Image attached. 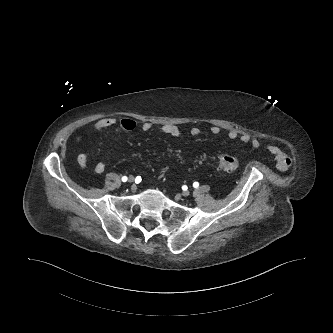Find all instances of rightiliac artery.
Returning a JSON list of instances; mask_svg holds the SVG:
<instances>
[{
  "label": "right iliac artery",
  "instance_id": "right-iliac-artery-1",
  "mask_svg": "<svg viewBox=\"0 0 333 333\" xmlns=\"http://www.w3.org/2000/svg\"><path fill=\"white\" fill-rule=\"evenodd\" d=\"M127 179H128V178H127L126 176H123V177H122V181H123V182H126Z\"/></svg>",
  "mask_w": 333,
  "mask_h": 333
}]
</instances>
